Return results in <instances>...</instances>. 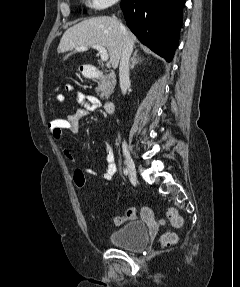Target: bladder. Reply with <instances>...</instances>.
<instances>
[{
	"mask_svg": "<svg viewBox=\"0 0 240 287\" xmlns=\"http://www.w3.org/2000/svg\"><path fill=\"white\" fill-rule=\"evenodd\" d=\"M108 239L113 246L139 251L148 243V228L140 221L129 222L112 231Z\"/></svg>",
	"mask_w": 240,
	"mask_h": 287,
	"instance_id": "31cf9c89",
	"label": "bladder"
}]
</instances>
